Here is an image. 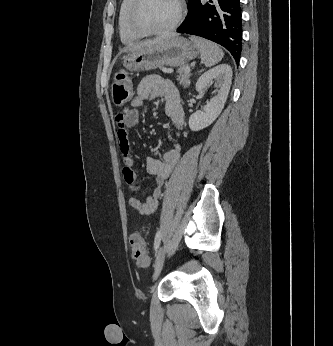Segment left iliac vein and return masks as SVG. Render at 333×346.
I'll return each mask as SVG.
<instances>
[{"instance_id":"obj_1","label":"left iliac vein","mask_w":333,"mask_h":346,"mask_svg":"<svg viewBox=\"0 0 333 346\" xmlns=\"http://www.w3.org/2000/svg\"><path fill=\"white\" fill-rule=\"evenodd\" d=\"M164 261H165V248L162 246L160 247L156 255L155 264H154V275H153L154 278H156L158 274L160 273L163 267Z\"/></svg>"}]
</instances>
